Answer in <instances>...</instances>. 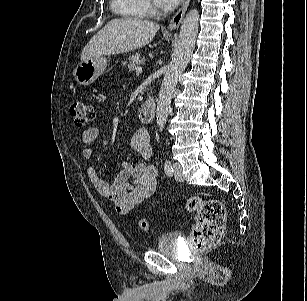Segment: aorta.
<instances>
[{"mask_svg": "<svg viewBox=\"0 0 307 301\" xmlns=\"http://www.w3.org/2000/svg\"><path fill=\"white\" fill-rule=\"evenodd\" d=\"M199 19L200 16L196 9L187 13L180 28L179 39L172 60L166 67L156 110V122L161 132L167 121L172 94L178 83V78L187 66L194 50Z\"/></svg>", "mask_w": 307, "mask_h": 301, "instance_id": "obj_1", "label": "aorta"}]
</instances>
